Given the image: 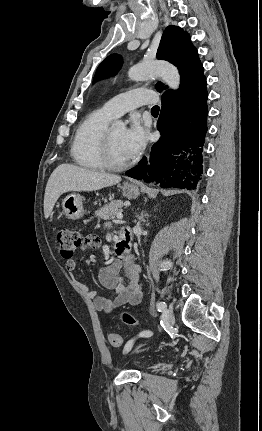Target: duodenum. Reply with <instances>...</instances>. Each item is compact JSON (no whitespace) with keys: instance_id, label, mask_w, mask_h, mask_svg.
Listing matches in <instances>:
<instances>
[{"instance_id":"duodenum-1","label":"duodenum","mask_w":262,"mask_h":431,"mask_svg":"<svg viewBox=\"0 0 262 431\" xmlns=\"http://www.w3.org/2000/svg\"><path fill=\"white\" fill-rule=\"evenodd\" d=\"M128 237L124 238L123 240H120L117 244L118 250L121 254L125 255L127 253L128 249Z\"/></svg>"}]
</instances>
